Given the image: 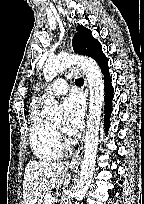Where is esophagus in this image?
<instances>
[{
	"label": "esophagus",
	"instance_id": "1",
	"mask_svg": "<svg viewBox=\"0 0 144 204\" xmlns=\"http://www.w3.org/2000/svg\"><path fill=\"white\" fill-rule=\"evenodd\" d=\"M67 48L70 49L69 44H67ZM78 72L83 77L84 87L86 88L87 87V80H86V78H85V76H84V74L82 73L81 70H78ZM83 142H84V137L82 138L81 143L79 144V147L77 148V150H76V152L74 154V157L72 159V162H71V167L72 168H78V166L80 164V160H81V158L83 156V152H84Z\"/></svg>",
	"mask_w": 144,
	"mask_h": 204
}]
</instances>
